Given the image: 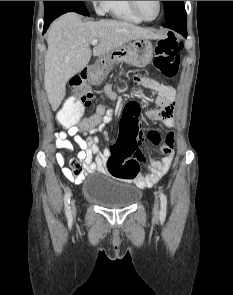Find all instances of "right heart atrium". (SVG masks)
Returning a JSON list of instances; mask_svg holds the SVG:
<instances>
[{
    "label": "right heart atrium",
    "instance_id": "d8ad5b80",
    "mask_svg": "<svg viewBox=\"0 0 233 295\" xmlns=\"http://www.w3.org/2000/svg\"><path fill=\"white\" fill-rule=\"evenodd\" d=\"M107 2L108 1H91L98 14H104L107 11Z\"/></svg>",
    "mask_w": 233,
    "mask_h": 295
}]
</instances>
